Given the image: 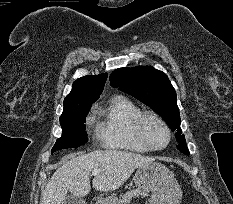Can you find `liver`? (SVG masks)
<instances>
[{"mask_svg":"<svg viewBox=\"0 0 233 204\" xmlns=\"http://www.w3.org/2000/svg\"><path fill=\"white\" fill-rule=\"evenodd\" d=\"M153 162L140 154L105 150L71 157L58 168L42 192L40 204H62L68 192L84 197L90 192V174L94 169L104 170L96 175L92 184L98 191H113L121 187L134 170Z\"/></svg>","mask_w":233,"mask_h":204,"instance_id":"6515ba94","label":"liver"}]
</instances>
